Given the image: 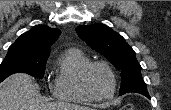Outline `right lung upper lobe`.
<instances>
[{
	"mask_svg": "<svg viewBox=\"0 0 171 110\" xmlns=\"http://www.w3.org/2000/svg\"><path fill=\"white\" fill-rule=\"evenodd\" d=\"M60 34L59 29L37 25L22 34L9 49H15L28 55H49L51 45Z\"/></svg>",
	"mask_w": 171,
	"mask_h": 110,
	"instance_id": "1",
	"label": "right lung upper lobe"
}]
</instances>
